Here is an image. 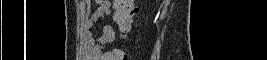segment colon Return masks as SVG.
I'll return each instance as SVG.
<instances>
[{
	"instance_id": "1",
	"label": "colon",
	"mask_w": 267,
	"mask_h": 60,
	"mask_svg": "<svg viewBox=\"0 0 267 60\" xmlns=\"http://www.w3.org/2000/svg\"><path fill=\"white\" fill-rule=\"evenodd\" d=\"M113 20L117 23L122 34L127 33L134 26V15L138 8L133 0H116L114 1ZM111 59L126 60L127 56L124 52H115Z\"/></svg>"
}]
</instances>
